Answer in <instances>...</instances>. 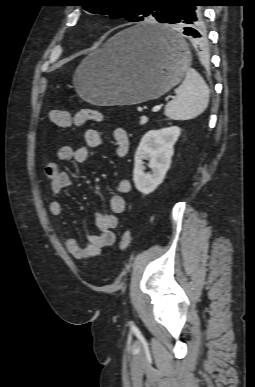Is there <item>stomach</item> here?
Masks as SVG:
<instances>
[{
    "label": "stomach",
    "mask_w": 255,
    "mask_h": 387,
    "mask_svg": "<svg viewBox=\"0 0 255 387\" xmlns=\"http://www.w3.org/2000/svg\"><path fill=\"white\" fill-rule=\"evenodd\" d=\"M165 29L144 22L127 28L77 67L73 84L79 96L96 105H133L156 99L181 82L190 62L182 37L171 31L172 50L147 40L142 32Z\"/></svg>",
    "instance_id": "obj_1"
}]
</instances>
